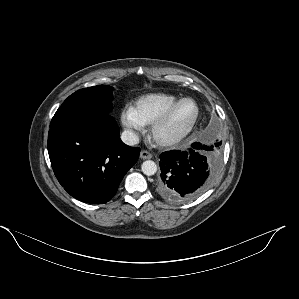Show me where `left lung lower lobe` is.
<instances>
[{"label": "left lung lower lobe", "instance_id": "0a47b994", "mask_svg": "<svg viewBox=\"0 0 299 299\" xmlns=\"http://www.w3.org/2000/svg\"><path fill=\"white\" fill-rule=\"evenodd\" d=\"M159 194L174 203L190 201L213 181L221 161L220 145L194 142L186 151L172 150L160 155Z\"/></svg>", "mask_w": 299, "mask_h": 299}]
</instances>
